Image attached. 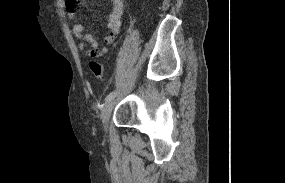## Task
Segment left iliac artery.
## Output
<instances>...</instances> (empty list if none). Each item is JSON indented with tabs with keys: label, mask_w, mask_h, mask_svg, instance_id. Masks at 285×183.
Here are the masks:
<instances>
[{
	"label": "left iliac artery",
	"mask_w": 285,
	"mask_h": 183,
	"mask_svg": "<svg viewBox=\"0 0 285 183\" xmlns=\"http://www.w3.org/2000/svg\"><path fill=\"white\" fill-rule=\"evenodd\" d=\"M116 94H117L116 91L110 92V93L106 96V98H105L106 102L109 101V100H111L112 98H114V97L116 96Z\"/></svg>",
	"instance_id": "1"
}]
</instances>
